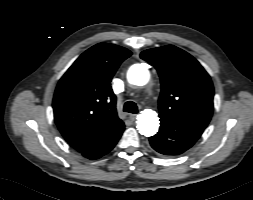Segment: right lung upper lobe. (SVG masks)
Instances as JSON below:
<instances>
[{
	"label": "right lung upper lobe",
	"mask_w": 253,
	"mask_h": 200,
	"mask_svg": "<svg viewBox=\"0 0 253 200\" xmlns=\"http://www.w3.org/2000/svg\"><path fill=\"white\" fill-rule=\"evenodd\" d=\"M131 52L99 43L85 51L60 79L53 98L55 122L67 142L83 153L124 129L110 82Z\"/></svg>",
	"instance_id": "right-lung-upper-lobe-1"
}]
</instances>
